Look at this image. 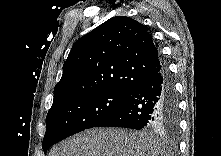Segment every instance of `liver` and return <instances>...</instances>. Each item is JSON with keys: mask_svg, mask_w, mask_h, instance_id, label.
<instances>
[{"mask_svg": "<svg viewBox=\"0 0 221 156\" xmlns=\"http://www.w3.org/2000/svg\"><path fill=\"white\" fill-rule=\"evenodd\" d=\"M165 144L153 134L118 128H93L54 146L49 156H165Z\"/></svg>", "mask_w": 221, "mask_h": 156, "instance_id": "6515ba94", "label": "liver"}]
</instances>
